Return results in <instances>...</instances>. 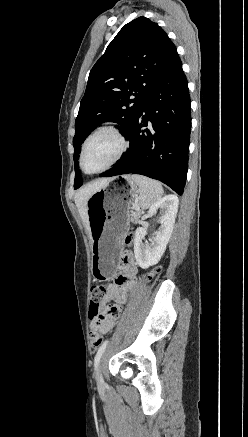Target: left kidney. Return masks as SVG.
I'll list each match as a JSON object with an SVG mask.
<instances>
[{"instance_id": "1", "label": "left kidney", "mask_w": 248, "mask_h": 437, "mask_svg": "<svg viewBox=\"0 0 248 437\" xmlns=\"http://www.w3.org/2000/svg\"><path fill=\"white\" fill-rule=\"evenodd\" d=\"M179 200L175 195H167L149 208V216L155 215L158 211L161 214L159 219L160 226L155 232L151 242L143 243L146 229L137 228L134 237V254L137 264L142 269L155 265L161 259L170 239L178 212Z\"/></svg>"}]
</instances>
